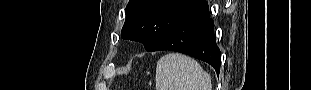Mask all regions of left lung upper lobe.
Segmentation results:
<instances>
[{"label":"left lung upper lobe","instance_id":"1","mask_svg":"<svg viewBox=\"0 0 311 90\" xmlns=\"http://www.w3.org/2000/svg\"><path fill=\"white\" fill-rule=\"evenodd\" d=\"M203 0H130L125 9L126 21L121 31L124 39L139 41L147 51L167 31Z\"/></svg>","mask_w":311,"mask_h":90}]
</instances>
